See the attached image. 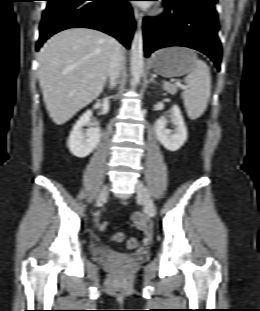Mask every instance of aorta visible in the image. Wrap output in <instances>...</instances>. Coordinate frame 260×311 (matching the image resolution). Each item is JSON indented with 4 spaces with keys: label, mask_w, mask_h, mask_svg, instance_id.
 Returning <instances> with one entry per match:
<instances>
[{
    "label": "aorta",
    "mask_w": 260,
    "mask_h": 311,
    "mask_svg": "<svg viewBox=\"0 0 260 311\" xmlns=\"http://www.w3.org/2000/svg\"><path fill=\"white\" fill-rule=\"evenodd\" d=\"M130 70L133 85L136 86L139 84L144 72L143 39L140 30L135 32L132 40Z\"/></svg>",
    "instance_id": "1"
}]
</instances>
